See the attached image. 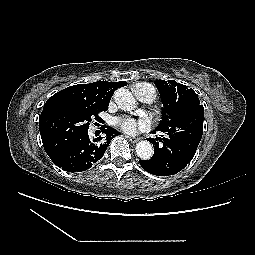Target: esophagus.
Here are the masks:
<instances>
[{"label": "esophagus", "mask_w": 255, "mask_h": 255, "mask_svg": "<svg viewBox=\"0 0 255 255\" xmlns=\"http://www.w3.org/2000/svg\"><path fill=\"white\" fill-rule=\"evenodd\" d=\"M132 143H136L139 141V138L137 137H133V136H129V135H125Z\"/></svg>", "instance_id": "34e87169"}]
</instances>
